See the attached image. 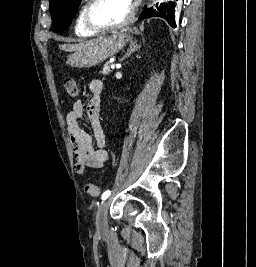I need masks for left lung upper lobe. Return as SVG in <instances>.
I'll return each instance as SVG.
<instances>
[{"instance_id":"1","label":"left lung upper lobe","mask_w":256,"mask_h":267,"mask_svg":"<svg viewBox=\"0 0 256 267\" xmlns=\"http://www.w3.org/2000/svg\"><path fill=\"white\" fill-rule=\"evenodd\" d=\"M81 0H49L50 13L52 16L53 27L57 32H63L70 25ZM146 8V7H145ZM158 11L144 9L139 19L159 16L172 23L173 11L172 2L161 4Z\"/></svg>"}]
</instances>
